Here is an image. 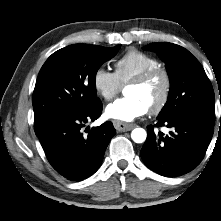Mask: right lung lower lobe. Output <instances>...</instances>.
<instances>
[{"label": "right lung lower lobe", "mask_w": 221, "mask_h": 221, "mask_svg": "<svg viewBox=\"0 0 221 221\" xmlns=\"http://www.w3.org/2000/svg\"><path fill=\"white\" fill-rule=\"evenodd\" d=\"M102 103L84 112L57 117L36 133L51 166L70 181L84 180L100 167L105 150L116 130L111 122L101 126L83 127L101 115Z\"/></svg>", "instance_id": "98d812e1"}]
</instances>
